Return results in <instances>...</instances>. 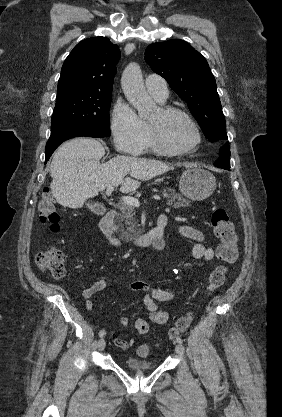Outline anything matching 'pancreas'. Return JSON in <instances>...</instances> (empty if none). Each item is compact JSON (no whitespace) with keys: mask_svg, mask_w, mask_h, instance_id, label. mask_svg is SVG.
<instances>
[{"mask_svg":"<svg viewBox=\"0 0 282 417\" xmlns=\"http://www.w3.org/2000/svg\"><path fill=\"white\" fill-rule=\"evenodd\" d=\"M162 194L164 198H167L166 204L174 206V209H178V206H189L191 200L184 198L182 194L172 190V188H163ZM118 209L121 213H118L116 217L117 227H119V239L122 241H132L135 237H139L143 233V229L137 227L138 219H136L135 206L133 204H119Z\"/></svg>","mask_w":282,"mask_h":417,"instance_id":"obj_1","label":"pancreas"}]
</instances>
